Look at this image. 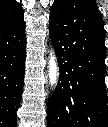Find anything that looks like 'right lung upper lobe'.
Returning a JSON list of instances; mask_svg holds the SVG:
<instances>
[{
  "label": "right lung upper lobe",
  "instance_id": "obj_1",
  "mask_svg": "<svg viewBox=\"0 0 108 127\" xmlns=\"http://www.w3.org/2000/svg\"><path fill=\"white\" fill-rule=\"evenodd\" d=\"M24 12L16 0H0V26L18 23Z\"/></svg>",
  "mask_w": 108,
  "mask_h": 127
}]
</instances>
